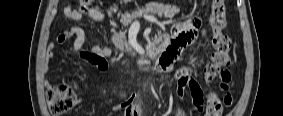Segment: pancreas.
Listing matches in <instances>:
<instances>
[{
  "label": "pancreas",
  "mask_w": 283,
  "mask_h": 116,
  "mask_svg": "<svg viewBox=\"0 0 283 116\" xmlns=\"http://www.w3.org/2000/svg\"><path fill=\"white\" fill-rule=\"evenodd\" d=\"M179 11L180 9L176 6L162 5L154 2L147 4L145 7L137 9L131 14H126L122 20V24L124 26H128L134 19L144 14H151L152 16L159 17L164 15L166 18L172 19L177 13H179ZM113 42L115 46L120 50L129 48V44L126 39V31H120L119 33H115L113 37Z\"/></svg>",
  "instance_id": "pancreas-1"
}]
</instances>
